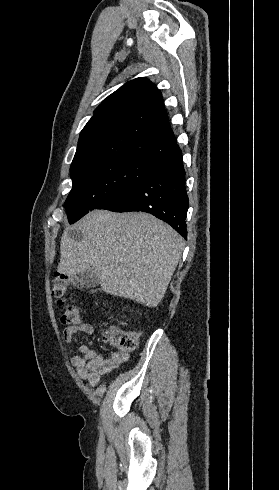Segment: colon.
I'll list each match as a JSON object with an SVG mask.
<instances>
[{"label": "colon", "mask_w": 279, "mask_h": 490, "mask_svg": "<svg viewBox=\"0 0 279 490\" xmlns=\"http://www.w3.org/2000/svg\"><path fill=\"white\" fill-rule=\"evenodd\" d=\"M70 284L79 285L80 283L75 276L59 272L55 275L50 285L53 297L64 305L60 313V321L66 325L80 322L82 316L81 311L76 306L67 305L65 300V294ZM103 337L109 339L112 349H116L123 354L135 349L139 333L135 331L123 332L122 329L111 327L103 330Z\"/></svg>", "instance_id": "colon-1"}]
</instances>
